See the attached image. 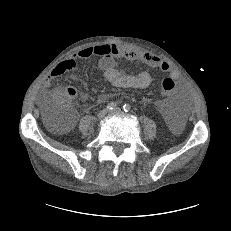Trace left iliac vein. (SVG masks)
<instances>
[{
  "mask_svg": "<svg viewBox=\"0 0 231 231\" xmlns=\"http://www.w3.org/2000/svg\"><path fill=\"white\" fill-rule=\"evenodd\" d=\"M111 113L120 114L121 113V109L117 107L114 110H112Z\"/></svg>",
  "mask_w": 231,
  "mask_h": 231,
  "instance_id": "1",
  "label": "left iliac vein"
}]
</instances>
